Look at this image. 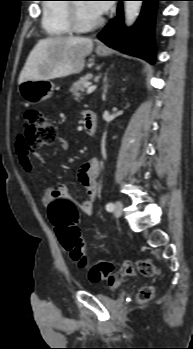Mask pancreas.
I'll return each instance as SVG.
<instances>
[{
	"instance_id": "1",
	"label": "pancreas",
	"mask_w": 193,
	"mask_h": 349,
	"mask_svg": "<svg viewBox=\"0 0 193 349\" xmlns=\"http://www.w3.org/2000/svg\"><path fill=\"white\" fill-rule=\"evenodd\" d=\"M91 78L92 74H87L81 77L75 83H73V85L70 88V92L72 93L75 99H78L80 97V92H83L85 90L86 85L90 83Z\"/></svg>"
}]
</instances>
